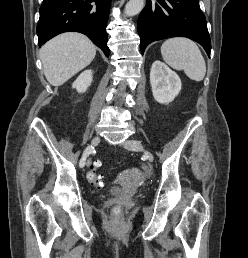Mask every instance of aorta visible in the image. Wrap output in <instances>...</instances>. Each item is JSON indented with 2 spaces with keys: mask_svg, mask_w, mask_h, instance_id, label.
Listing matches in <instances>:
<instances>
[{
  "mask_svg": "<svg viewBox=\"0 0 248 258\" xmlns=\"http://www.w3.org/2000/svg\"><path fill=\"white\" fill-rule=\"evenodd\" d=\"M144 7V0H129L125 6V15L134 16L141 12Z\"/></svg>",
  "mask_w": 248,
  "mask_h": 258,
  "instance_id": "aorta-1",
  "label": "aorta"
}]
</instances>
